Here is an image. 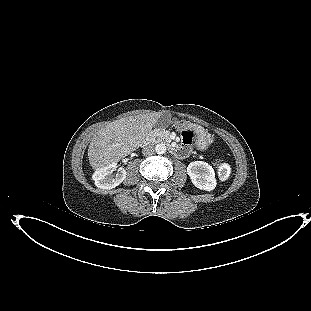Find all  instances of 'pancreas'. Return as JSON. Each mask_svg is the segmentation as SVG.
Wrapping results in <instances>:
<instances>
[{"instance_id": "pancreas-1", "label": "pancreas", "mask_w": 311, "mask_h": 311, "mask_svg": "<svg viewBox=\"0 0 311 311\" xmlns=\"http://www.w3.org/2000/svg\"><path fill=\"white\" fill-rule=\"evenodd\" d=\"M157 135H158V140L170 142V132L169 131L162 129V130H159L157 132Z\"/></svg>"}]
</instances>
